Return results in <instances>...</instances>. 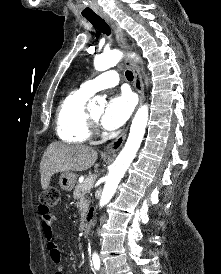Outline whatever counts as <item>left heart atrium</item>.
I'll use <instances>...</instances> for the list:
<instances>
[{
	"label": "left heart atrium",
	"mask_w": 221,
	"mask_h": 274,
	"mask_svg": "<svg viewBox=\"0 0 221 274\" xmlns=\"http://www.w3.org/2000/svg\"><path fill=\"white\" fill-rule=\"evenodd\" d=\"M134 108V98L124 92L110 99L102 115L101 123L107 130H114L123 125Z\"/></svg>",
	"instance_id": "39dd6f15"
}]
</instances>
